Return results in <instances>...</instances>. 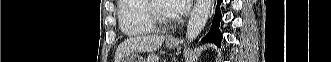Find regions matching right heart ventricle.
Wrapping results in <instances>:
<instances>
[{"mask_svg": "<svg viewBox=\"0 0 331 62\" xmlns=\"http://www.w3.org/2000/svg\"><path fill=\"white\" fill-rule=\"evenodd\" d=\"M117 16L120 30L128 36H139L155 30L146 16L145 0L118 1Z\"/></svg>", "mask_w": 331, "mask_h": 62, "instance_id": "right-heart-ventricle-1", "label": "right heart ventricle"}]
</instances>
